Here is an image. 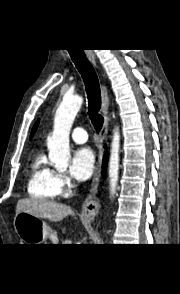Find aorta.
<instances>
[{
	"instance_id": "762f6f07",
	"label": "aorta",
	"mask_w": 180,
	"mask_h": 294,
	"mask_svg": "<svg viewBox=\"0 0 180 294\" xmlns=\"http://www.w3.org/2000/svg\"><path fill=\"white\" fill-rule=\"evenodd\" d=\"M83 98L81 96H65L56 110L54 116L53 132L47 139L50 162L57 168L65 170L71 158L69 147V135L73 121L81 108ZM119 151L120 133L118 128L113 131L110 157L108 162V176L110 194L114 196L119 177Z\"/></svg>"
}]
</instances>
